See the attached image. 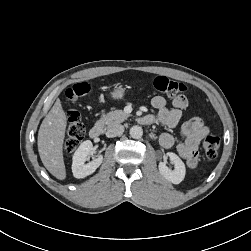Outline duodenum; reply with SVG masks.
Wrapping results in <instances>:
<instances>
[{
	"label": "duodenum",
	"instance_id": "duodenum-1",
	"mask_svg": "<svg viewBox=\"0 0 251 251\" xmlns=\"http://www.w3.org/2000/svg\"><path fill=\"white\" fill-rule=\"evenodd\" d=\"M139 123L142 125H150L153 123V119L149 115H146L139 118ZM102 132H103L102 127L99 125H96L90 129L89 136L92 139H97L102 135Z\"/></svg>",
	"mask_w": 251,
	"mask_h": 251
}]
</instances>
